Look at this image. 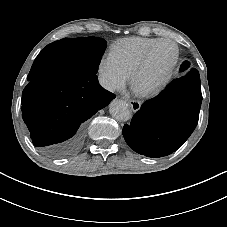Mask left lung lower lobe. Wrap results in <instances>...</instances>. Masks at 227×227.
Instances as JSON below:
<instances>
[{"label": "left lung lower lobe", "mask_w": 227, "mask_h": 227, "mask_svg": "<svg viewBox=\"0 0 227 227\" xmlns=\"http://www.w3.org/2000/svg\"><path fill=\"white\" fill-rule=\"evenodd\" d=\"M188 67L185 62L181 69ZM202 102L200 76L191 69L157 97L146 101L123 127L127 144L147 157H163L177 150L194 131Z\"/></svg>", "instance_id": "obj_1"}]
</instances>
